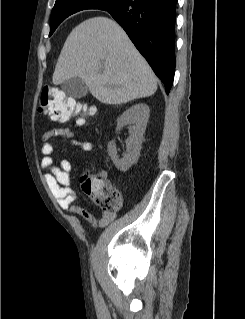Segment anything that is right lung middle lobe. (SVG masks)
Returning <instances> with one entry per match:
<instances>
[{
  "mask_svg": "<svg viewBox=\"0 0 245 319\" xmlns=\"http://www.w3.org/2000/svg\"><path fill=\"white\" fill-rule=\"evenodd\" d=\"M122 1L123 0H56L51 15L49 36L66 17L73 14L75 11L78 12L83 9H109Z\"/></svg>",
  "mask_w": 245,
  "mask_h": 319,
  "instance_id": "1",
  "label": "right lung middle lobe"
}]
</instances>
